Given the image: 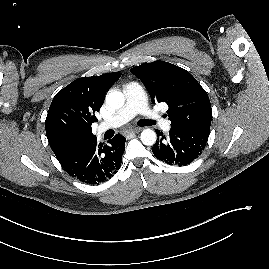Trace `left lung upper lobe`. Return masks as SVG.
<instances>
[{"label": "left lung upper lobe", "mask_w": 269, "mask_h": 269, "mask_svg": "<svg viewBox=\"0 0 269 269\" xmlns=\"http://www.w3.org/2000/svg\"><path fill=\"white\" fill-rule=\"evenodd\" d=\"M131 73L145 85L153 103L165 102L172 129H210L212 112L209 97L185 69L164 61L144 63Z\"/></svg>", "instance_id": "5c2ea615"}]
</instances>
